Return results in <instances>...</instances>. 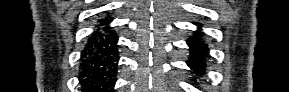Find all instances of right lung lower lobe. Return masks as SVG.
<instances>
[{
    "mask_svg": "<svg viewBox=\"0 0 289 92\" xmlns=\"http://www.w3.org/2000/svg\"><path fill=\"white\" fill-rule=\"evenodd\" d=\"M112 19H100L81 54L80 82L84 92H110L119 60L118 37L108 26Z\"/></svg>",
    "mask_w": 289,
    "mask_h": 92,
    "instance_id": "obj_1",
    "label": "right lung lower lobe"
}]
</instances>
